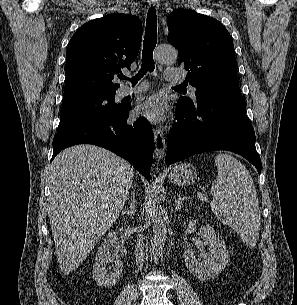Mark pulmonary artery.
Segmentation results:
<instances>
[{
	"instance_id": "obj_1",
	"label": "pulmonary artery",
	"mask_w": 297,
	"mask_h": 305,
	"mask_svg": "<svg viewBox=\"0 0 297 305\" xmlns=\"http://www.w3.org/2000/svg\"><path fill=\"white\" fill-rule=\"evenodd\" d=\"M182 71L178 69H168L165 71V79L168 82L179 83L181 81ZM148 88L147 85L141 84L136 87L123 86L119 89V95L121 97L136 95L146 91ZM191 93L194 95L196 88H190Z\"/></svg>"
}]
</instances>
